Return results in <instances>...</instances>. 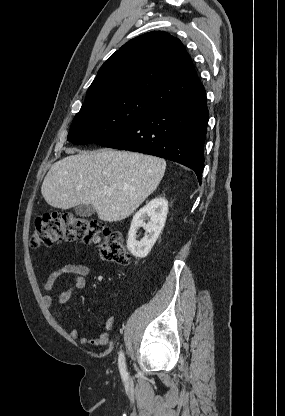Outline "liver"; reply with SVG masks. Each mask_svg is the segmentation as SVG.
Wrapping results in <instances>:
<instances>
[{
    "instance_id": "liver-1",
    "label": "liver",
    "mask_w": 285,
    "mask_h": 416,
    "mask_svg": "<svg viewBox=\"0 0 285 416\" xmlns=\"http://www.w3.org/2000/svg\"><path fill=\"white\" fill-rule=\"evenodd\" d=\"M67 156L51 166L41 192L53 208L69 210L74 206H93L99 220H125L157 190L166 162L155 156L117 152L110 148L81 152L65 148ZM113 190V194H108Z\"/></svg>"
}]
</instances>
